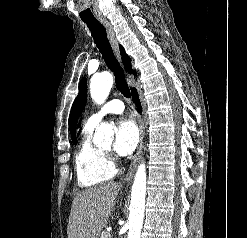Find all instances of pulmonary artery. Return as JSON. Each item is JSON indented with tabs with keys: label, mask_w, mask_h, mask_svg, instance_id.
Masks as SVG:
<instances>
[{
	"label": "pulmonary artery",
	"mask_w": 247,
	"mask_h": 238,
	"mask_svg": "<svg viewBox=\"0 0 247 238\" xmlns=\"http://www.w3.org/2000/svg\"><path fill=\"white\" fill-rule=\"evenodd\" d=\"M124 111V104L119 99H113L93 113L87 120L86 125L97 126L107 114H120Z\"/></svg>",
	"instance_id": "e3ab8cb5"
}]
</instances>
